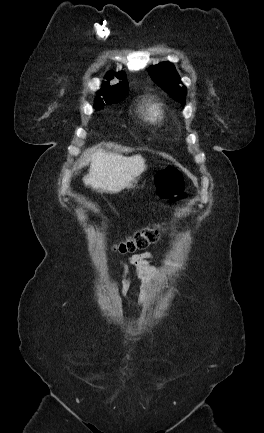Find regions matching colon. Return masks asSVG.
<instances>
[{
	"label": "colon",
	"mask_w": 264,
	"mask_h": 433,
	"mask_svg": "<svg viewBox=\"0 0 264 433\" xmlns=\"http://www.w3.org/2000/svg\"><path fill=\"white\" fill-rule=\"evenodd\" d=\"M155 183L158 195L161 198L176 201L185 196L182 175L173 166H167L159 171ZM161 231V226L146 227L114 243L112 248L120 253H130L144 249L157 241Z\"/></svg>",
	"instance_id": "5ec220e1"
}]
</instances>
